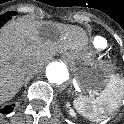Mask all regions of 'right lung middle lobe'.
Here are the masks:
<instances>
[{"instance_id":"1","label":"right lung middle lobe","mask_w":124,"mask_h":124,"mask_svg":"<svg viewBox=\"0 0 124 124\" xmlns=\"http://www.w3.org/2000/svg\"><path fill=\"white\" fill-rule=\"evenodd\" d=\"M5 15L11 16V15H17V13L16 12H6Z\"/></svg>"}]
</instances>
